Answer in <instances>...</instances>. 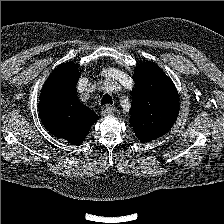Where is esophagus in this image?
I'll list each match as a JSON object with an SVG mask.
<instances>
[{
    "mask_svg": "<svg viewBox=\"0 0 224 224\" xmlns=\"http://www.w3.org/2000/svg\"><path fill=\"white\" fill-rule=\"evenodd\" d=\"M114 112H115V107H113V106H105V108L102 111V114L104 116H111V115L114 114Z\"/></svg>",
    "mask_w": 224,
    "mask_h": 224,
    "instance_id": "esophagus-1",
    "label": "esophagus"
}]
</instances>
